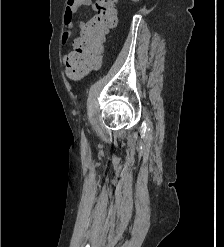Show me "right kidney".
Listing matches in <instances>:
<instances>
[{
  "label": "right kidney",
  "instance_id": "1",
  "mask_svg": "<svg viewBox=\"0 0 224 247\" xmlns=\"http://www.w3.org/2000/svg\"><path fill=\"white\" fill-rule=\"evenodd\" d=\"M132 2H139V0H132Z\"/></svg>",
  "mask_w": 224,
  "mask_h": 247
}]
</instances>
